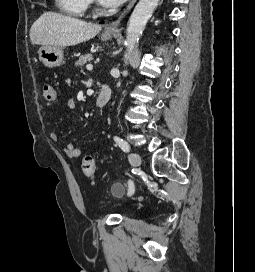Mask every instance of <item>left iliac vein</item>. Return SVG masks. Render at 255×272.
<instances>
[{
	"label": "left iliac vein",
	"instance_id": "left-iliac-vein-1",
	"mask_svg": "<svg viewBox=\"0 0 255 272\" xmlns=\"http://www.w3.org/2000/svg\"><path fill=\"white\" fill-rule=\"evenodd\" d=\"M129 162L131 163L132 166L134 167H140L141 165V157L137 153H130L129 156Z\"/></svg>",
	"mask_w": 255,
	"mask_h": 272
}]
</instances>
